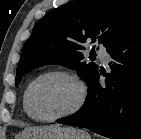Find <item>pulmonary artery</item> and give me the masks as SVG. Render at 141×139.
<instances>
[{
  "label": "pulmonary artery",
  "mask_w": 141,
  "mask_h": 139,
  "mask_svg": "<svg viewBox=\"0 0 141 139\" xmlns=\"http://www.w3.org/2000/svg\"><path fill=\"white\" fill-rule=\"evenodd\" d=\"M98 55L102 61L103 64H107L109 61V54L104 49L98 50Z\"/></svg>",
  "instance_id": "e3ab8cb5"
}]
</instances>
